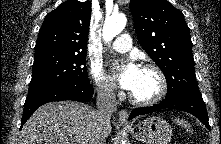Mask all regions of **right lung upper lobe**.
Instances as JSON below:
<instances>
[{
    "mask_svg": "<svg viewBox=\"0 0 221 144\" xmlns=\"http://www.w3.org/2000/svg\"><path fill=\"white\" fill-rule=\"evenodd\" d=\"M91 2L69 0L45 16L35 45L41 52L86 53Z\"/></svg>",
    "mask_w": 221,
    "mask_h": 144,
    "instance_id": "cb5924a9",
    "label": "right lung upper lobe"
}]
</instances>
